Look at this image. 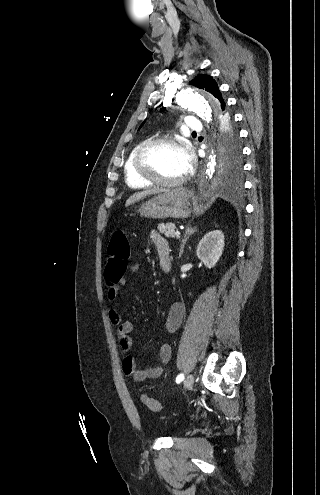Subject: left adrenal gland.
<instances>
[{
    "instance_id": "1",
    "label": "left adrenal gland",
    "mask_w": 320,
    "mask_h": 495,
    "mask_svg": "<svg viewBox=\"0 0 320 495\" xmlns=\"http://www.w3.org/2000/svg\"><path fill=\"white\" fill-rule=\"evenodd\" d=\"M196 232V229L195 228H191L189 227L186 232H185V237L184 239L182 240V243L180 245V253H179V257H181V255L183 254V249H184V246L186 244V242L188 241L189 237L191 235H193L194 233Z\"/></svg>"
}]
</instances>
